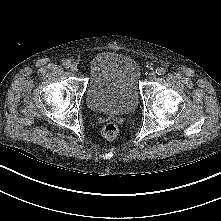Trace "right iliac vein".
Listing matches in <instances>:
<instances>
[{
	"mask_svg": "<svg viewBox=\"0 0 221 221\" xmlns=\"http://www.w3.org/2000/svg\"><path fill=\"white\" fill-rule=\"evenodd\" d=\"M70 71H71V73H76L78 71L77 66L76 65H71L70 66Z\"/></svg>",
	"mask_w": 221,
	"mask_h": 221,
	"instance_id": "obj_1",
	"label": "right iliac vein"
}]
</instances>
